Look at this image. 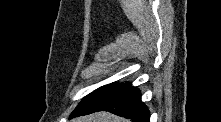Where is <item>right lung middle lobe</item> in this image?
<instances>
[{
	"instance_id": "1",
	"label": "right lung middle lobe",
	"mask_w": 221,
	"mask_h": 122,
	"mask_svg": "<svg viewBox=\"0 0 221 122\" xmlns=\"http://www.w3.org/2000/svg\"><path fill=\"white\" fill-rule=\"evenodd\" d=\"M114 85H115V83H112V84H108V85H105V86H103V87H100V88H98L97 90H95V91H93L92 93H90L88 96H86L82 101H85V100H87V99H89V98H92L93 96L98 95L99 93H101V92H103V91H105V90L111 88V87L114 86Z\"/></svg>"
}]
</instances>
